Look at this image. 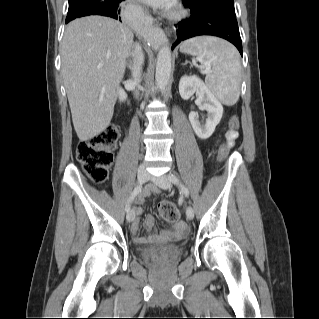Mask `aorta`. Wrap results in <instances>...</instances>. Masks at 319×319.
<instances>
[{
	"label": "aorta",
	"mask_w": 319,
	"mask_h": 319,
	"mask_svg": "<svg viewBox=\"0 0 319 319\" xmlns=\"http://www.w3.org/2000/svg\"><path fill=\"white\" fill-rule=\"evenodd\" d=\"M150 21L146 19V29L150 28ZM171 74V52L168 46H163L157 56L156 82L161 91H165Z\"/></svg>",
	"instance_id": "obj_1"
}]
</instances>
